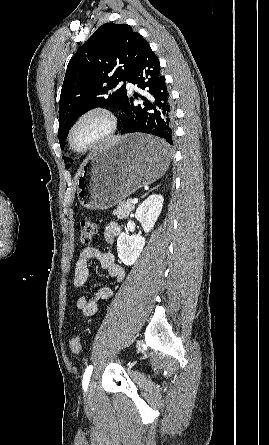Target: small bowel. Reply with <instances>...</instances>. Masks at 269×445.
Returning a JSON list of instances; mask_svg holds the SVG:
<instances>
[{
    "mask_svg": "<svg viewBox=\"0 0 269 445\" xmlns=\"http://www.w3.org/2000/svg\"><path fill=\"white\" fill-rule=\"evenodd\" d=\"M121 233V227L116 222H110L104 230V238L108 242H112ZM98 261L101 268L104 269L108 276L116 281H122L125 277V271L115 260L114 254L109 251H101L95 246L84 247L78 254L73 278V286L75 288L83 287L89 278V263ZM113 296V290L104 286L99 288L94 296L89 299L85 296H79L75 300V306L81 311L84 317H90L96 314L98 303L107 301Z\"/></svg>",
    "mask_w": 269,
    "mask_h": 445,
    "instance_id": "1",
    "label": "small bowel"
}]
</instances>
